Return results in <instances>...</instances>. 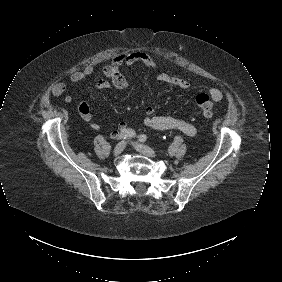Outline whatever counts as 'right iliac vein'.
Wrapping results in <instances>:
<instances>
[{"instance_id":"63e3f726","label":"right iliac vein","mask_w":282,"mask_h":282,"mask_svg":"<svg viewBox=\"0 0 282 282\" xmlns=\"http://www.w3.org/2000/svg\"><path fill=\"white\" fill-rule=\"evenodd\" d=\"M125 147H126L125 142L118 143L113 151L114 156L120 155L123 152V150L125 149Z\"/></svg>"}]
</instances>
